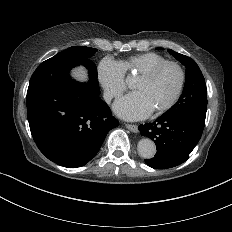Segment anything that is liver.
<instances>
[{
	"instance_id": "6515ba94",
	"label": "liver",
	"mask_w": 232,
	"mask_h": 232,
	"mask_svg": "<svg viewBox=\"0 0 232 232\" xmlns=\"http://www.w3.org/2000/svg\"><path fill=\"white\" fill-rule=\"evenodd\" d=\"M72 75L80 80V81H85L87 80V73H86V70L83 68V67H80V68H77V69H74L73 72H72Z\"/></svg>"
}]
</instances>
